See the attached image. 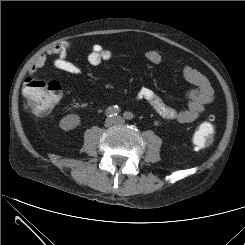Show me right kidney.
Returning a JSON list of instances; mask_svg holds the SVG:
<instances>
[{"label":"right kidney","mask_w":245,"mask_h":245,"mask_svg":"<svg viewBox=\"0 0 245 245\" xmlns=\"http://www.w3.org/2000/svg\"><path fill=\"white\" fill-rule=\"evenodd\" d=\"M80 124V117L76 114H70L60 120L59 126L65 131L72 130Z\"/></svg>","instance_id":"obj_1"}]
</instances>
